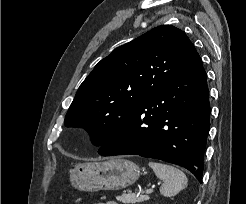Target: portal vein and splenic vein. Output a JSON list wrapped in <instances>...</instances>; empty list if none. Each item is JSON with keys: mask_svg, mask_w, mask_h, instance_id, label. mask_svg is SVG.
Instances as JSON below:
<instances>
[{"mask_svg": "<svg viewBox=\"0 0 246 204\" xmlns=\"http://www.w3.org/2000/svg\"><path fill=\"white\" fill-rule=\"evenodd\" d=\"M153 192V188L146 189L145 191H142V193L145 194H151ZM129 195H134L133 193H129Z\"/></svg>", "mask_w": 246, "mask_h": 204, "instance_id": "portal-vein-and-splenic-vein-1", "label": "portal vein and splenic vein"}]
</instances>
